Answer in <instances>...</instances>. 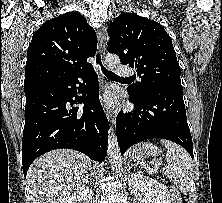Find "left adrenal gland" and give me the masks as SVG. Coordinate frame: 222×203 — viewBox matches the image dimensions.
<instances>
[{"label": "left adrenal gland", "instance_id": "obj_1", "mask_svg": "<svg viewBox=\"0 0 222 203\" xmlns=\"http://www.w3.org/2000/svg\"><path fill=\"white\" fill-rule=\"evenodd\" d=\"M133 166L136 167V165H135V164H132V163H131V160H129V161H128V170H129L131 167H133Z\"/></svg>", "mask_w": 222, "mask_h": 203}]
</instances>
